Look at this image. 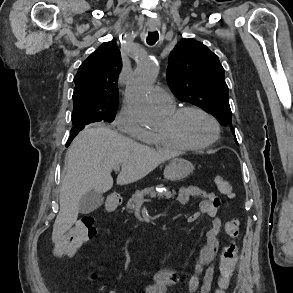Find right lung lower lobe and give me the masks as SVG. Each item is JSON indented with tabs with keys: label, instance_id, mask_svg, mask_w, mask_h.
Listing matches in <instances>:
<instances>
[{
	"label": "right lung lower lobe",
	"instance_id": "right-lung-lower-lobe-1",
	"mask_svg": "<svg viewBox=\"0 0 293 293\" xmlns=\"http://www.w3.org/2000/svg\"><path fill=\"white\" fill-rule=\"evenodd\" d=\"M84 129V127H73L71 129V134H70V137L67 141V144H66V147H68L71 143V141L75 138V136L82 130Z\"/></svg>",
	"mask_w": 293,
	"mask_h": 293
}]
</instances>
